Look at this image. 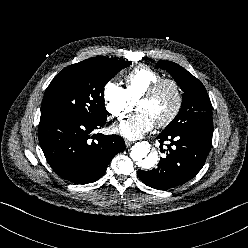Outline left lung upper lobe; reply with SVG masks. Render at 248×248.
Segmentation results:
<instances>
[{
	"label": "left lung upper lobe",
	"mask_w": 248,
	"mask_h": 248,
	"mask_svg": "<svg viewBox=\"0 0 248 248\" xmlns=\"http://www.w3.org/2000/svg\"><path fill=\"white\" fill-rule=\"evenodd\" d=\"M156 68L167 70L184 91L179 113L164 130L213 132L212 104L203 84L174 62L159 61Z\"/></svg>",
	"instance_id": "obj_1"
}]
</instances>
